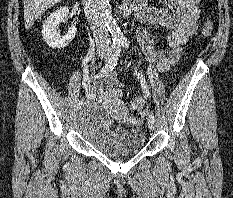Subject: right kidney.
<instances>
[{"instance_id":"ca27d5eb","label":"right kidney","mask_w":233,"mask_h":198,"mask_svg":"<svg viewBox=\"0 0 233 198\" xmlns=\"http://www.w3.org/2000/svg\"><path fill=\"white\" fill-rule=\"evenodd\" d=\"M69 16V9L67 7H61L51 13L42 28V36L47 45L53 49H61L66 47L75 37L77 29L75 26H71L68 32L61 36L58 30L60 22L65 21Z\"/></svg>"}]
</instances>
